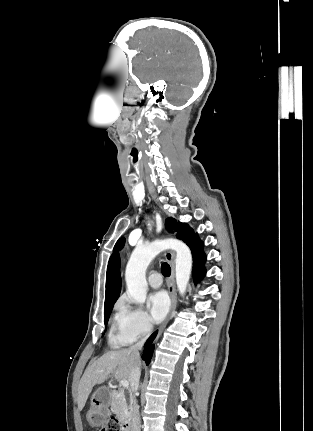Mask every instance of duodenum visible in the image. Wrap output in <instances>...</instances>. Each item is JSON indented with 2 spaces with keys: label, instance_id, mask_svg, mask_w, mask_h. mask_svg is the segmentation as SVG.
I'll return each mask as SVG.
<instances>
[{
  "label": "duodenum",
  "instance_id": "obj_1",
  "mask_svg": "<svg viewBox=\"0 0 313 431\" xmlns=\"http://www.w3.org/2000/svg\"><path fill=\"white\" fill-rule=\"evenodd\" d=\"M123 430L124 431H137L134 423V419L131 415H127L123 419Z\"/></svg>",
  "mask_w": 313,
  "mask_h": 431
}]
</instances>
